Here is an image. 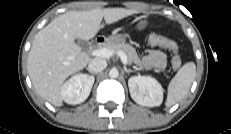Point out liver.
I'll return each instance as SVG.
<instances>
[{
	"label": "liver",
	"mask_w": 231,
	"mask_h": 134,
	"mask_svg": "<svg viewBox=\"0 0 231 134\" xmlns=\"http://www.w3.org/2000/svg\"><path fill=\"white\" fill-rule=\"evenodd\" d=\"M136 13L133 9L97 8L69 11L52 20L36 34L28 55V73L36 92L54 106H62L63 82L91 61L75 39L95 37L103 18L112 24Z\"/></svg>",
	"instance_id": "1"
}]
</instances>
